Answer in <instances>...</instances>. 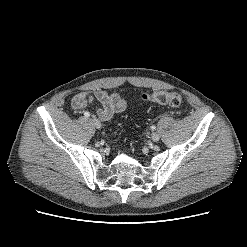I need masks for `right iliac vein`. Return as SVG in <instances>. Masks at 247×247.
I'll return each mask as SVG.
<instances>
[{
  "label": "right iliac vein",
  "instance_id": "63e3f726",
  "mask_svg": "<svg viewBox=\"0 0 247 247\" xmlns=\"http://www.w3.org/2000/svg\"><path fill=\"white\" fill-rule=\"evenodd\" d=\"M90 120L93 123V125L95 126V128H97V129L101 128L102 125H101V122L98 119L92 117Z\"/></svg>",
  "mask_w": 247,
  "mask_h": 247
}]
</instances>
